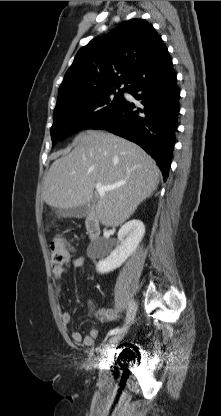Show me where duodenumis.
Returning <instances> with one entry per match:
<instances>
[{
    "label": "duodenum",
    "instance_id": "duodenum-1",
    "mask_svg": "<svg viewBox=\"0 0 221 416\" xmlns=\"http://www.w3.org/2000/svg\"><path fill=\"white\" fill-rule=\"evenodd\" d=\"M86 231L90 240H95L101 235V226L95 216L88 217L86 220Z\"/></svg>",
    "mask_w": 221,
    "mask_h": 416
}]
</instances>
